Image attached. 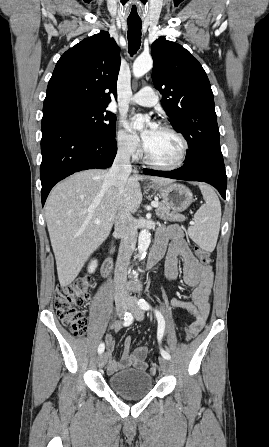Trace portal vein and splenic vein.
I'll return each mask as SVG.
<instances>
[{"label": "portal vein and splenic vein", "instance_id": "1", "mask_svg": "<svg viewBox=\"0 0 269 447\" xmlns=\"http://www.w3.org/2000/svg\"><path fill=\"white\" fill-rule=\"evenodd\" d=\"M152 206H154V208H158L159 204L158 202H152ZM95 224H101L100 220H95ZM191 224V222H190Z\"/></svg>", "mask_w": 269, "mask_h": 447}]
</instances>
